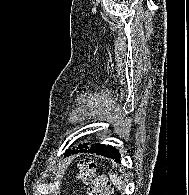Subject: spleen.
Segmentation results:
<instances>
[{
    "label": "spleen",
    "mask_w": 189,
    "mask_h": 195,
    "mask_svg": "<svg viewBox=\"0 0 189 195\" xmlns=\"http://www.w3.org/2000/svg\"><path fill=\"white\" fill-rule=\"evenodd\" d=\"M108 174L113 185H115L118 190H122L123 181L121 177H119L117 174L112 173L111 171Z\"/></svg>",
    "instance_id": "obj_1"
}]
</instances>
